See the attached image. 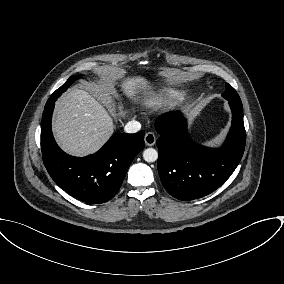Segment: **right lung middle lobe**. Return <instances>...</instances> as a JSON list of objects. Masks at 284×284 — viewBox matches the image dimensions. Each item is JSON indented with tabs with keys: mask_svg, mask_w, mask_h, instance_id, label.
Returning a JSON list of instances; mask_svg holds the SVG:
<instances>
[{
	"mask_svg": "<svg viewBox=\"0 0 284 284\" xmlns=\"http://www.w3.org/2000/svg\"><path fill=\"white\" fill-rule=\"evenodd\" d=\"M80 76H71L60 88H58L48 99H54V98H58L63 92H65L67 90V88L76 80L79 79ZM47 101V102H48Z\"/></svg>",
	"mask_w": 284,
	"mask_h": 284,
	"instance_id": "1",
	"label": "right lung middle lobe"
}]
</instances>
